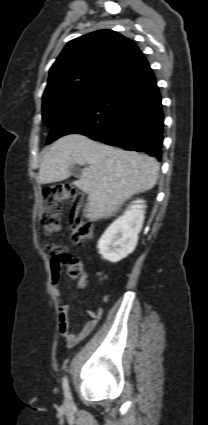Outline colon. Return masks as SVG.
Here are the masks:
<instances>
[{
    "label": "colon",
    "instance_id": "colon-1",
    "mask_svg": "<svg viewBox=\"0 0 208 425\" xmlns=\"http://www.w3.org/2000/svg\"><path fill=\"white\" fill-rule=\"evenodd\" d=\"M44 209L41 223L46 234L60 229V206L68 199H73L74 205L69 216V231L75 244H83L95 237V228L92 223L79 215L80 194L69 184L58 183L43 190ZM45 249L52 256L51 264L54 270H60L62 265L67 266L68 274L77 278L82 274V265L78 258L67 254L64 248L55 243H46Z\"/></svg>",
    "mask_w": 208,
    "mask_h": 425
}]
</instances>
